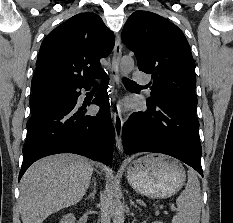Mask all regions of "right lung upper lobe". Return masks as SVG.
<instances>
[{
	"mask_svg": "<svg viewBox=\"0 0 233 223\" xmlns=\"http://www.w3.org/2000/svg\"><path fill=\"white\" fill-rule=\"evenodd\" d=\"M114 34L95 13L77 14L43 40L32 79V95L93 83L104 74L100 59L114 47Z\"/></svg>",
	"mask_w": 233,
	"mask_h": 223,
	"instance_id": "right-lung-upper-lobe-1",
	"label": "right lung upper lobe"
}]
</instances>
